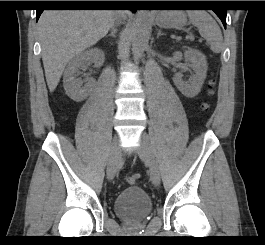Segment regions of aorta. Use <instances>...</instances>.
<instances>
[{
	"instance_id": "762f6f07",
	"label": "aorta",
	"mask_w": 265,
	"mask_h": 245,
	"mask_svg": "<svg viewBox=\"0 0 265 245\" xmlns=\"http://www.w3.org/2000/svg\"><path fill=\"white\" fill-rule=\"evenodd\" d=\"M149 39V19L144 11H140L137 15L134 36L132 39V53L134 59L138 60L142 57L148 46Z\"/></svg>"
}]
</instances>
